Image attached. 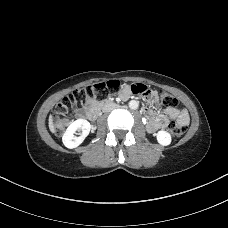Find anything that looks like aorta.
I'll return each instance as SVG.
<instances>
[{"instance_id": "762f6f07", "label": "aorta", "mask_w": 228, "mask_h": 228, "mask_svg": "<svg viewBox=\"0 0 228 228\" xmlns=\"http://www.w3.org/2000/svg\"><path fill=\"white\" fill-rule=\"evenodd\" d=\"M139 106V102L136 101V100H131L129 102V108L132 109V110H136Z\"/></svg>"}]
</instances>
